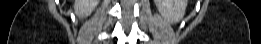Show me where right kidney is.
I'll return each instance as SVG.
<instances>
[{"label": "right kidney", "mask_w": 261, "mask_h": 44, "mask_svg": "<svg viewBox=\"0 0 261 44\" xmlns=\"http://www.w3.org/2000/svg\"><path fill=\"white\" fill-rule=\"evenodd\" d=\"M99 0H75L74 11L80 18H85L92 13Z\"/></svg>", "instance_id": "obj_1"}]
</instances>
